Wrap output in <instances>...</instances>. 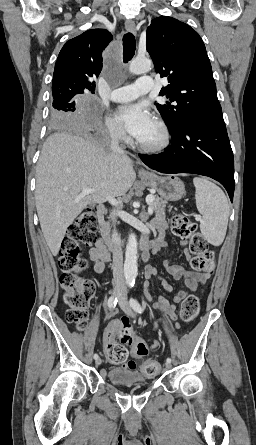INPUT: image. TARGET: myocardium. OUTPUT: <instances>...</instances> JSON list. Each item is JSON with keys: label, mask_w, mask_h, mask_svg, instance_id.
Listing matches in <instances>:
<instances>
[{"label": "myocardium", "mask_w": 256, "mask_h": 445, "mask_svg": "<svg viewBox=\"0 0 256 445\" xmlns=\"http://www.w3.org/2000/svg\"><path fill=\"white\" fill-rule=\"evenodd\" d=\"M154 123L160 131V139L153 144H145L140 141H136V145L144 152L158 153L165 150L171 141V133L167 124L161 119H155Z\"/></svg>", "instance_id": "1"}]
</instances>
